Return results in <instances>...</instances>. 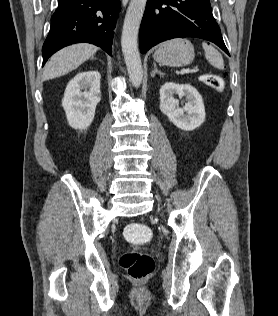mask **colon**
<instances>
[{
    "instance_id": "1",
    "label": "colon",
    "mask_w": 278,
    "mask_h": 316,
    "mask_svg": "<svg viewBox=\"0 0 278 316\" xmlns=\"http://www.w3.org/2000/svg\"><path fill=\"white\" fill-rule=\"evenodd\" d=\"M202 80L207 86L216 91H222L224 88V79L220 75L206 74ZM124 237L132 243H145L152 238V231L145 224L130 223L124 229ZM119 262L128 275L137 281L149 277L155 268L154 259L149 254L142 252H126L121 255Z\"/></svg>"
}]
</instances>
